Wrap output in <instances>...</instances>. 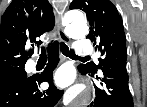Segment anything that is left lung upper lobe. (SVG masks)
<instances>
[{
  "mask_svg": "<svg viewBox=\"0 0 147 107\" xmlns=\"http://www.w3.org/2000/svg\"><path fill=\"white\" fill-rule=\"evenodd\" d=\"M70 9H80L86 13L90 23L87 38L94 42L95 49L100 50L102 56L98 59L99 65L87 63L81 64L80 68L97 73L109 61L127 60L123 22L109 0H73Z\"/></svg>",
  "mask_w": 147,
  "mask_h": 107,
  "instance_id": "5c2ea615",
  "label": "left lung upper lobe"
}]
</instances>
